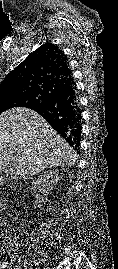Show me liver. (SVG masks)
Segmentation results:
<instances>
[{"label": "liver", "instance_id": "1", "mask_svg": "<svg viewBox=\"0 0 118 269\" xmlns=\"http://www.w3.org/2000/svg\"><path fill=\"white\" fill-rule=\"evenodd\" d=\"M75 160L73 148L38 113L17 107L0 114V170L12 164L14 173L27 179Z\"/></svg>", "mask_w": 118, "mask_h": 269}]
</instances>
